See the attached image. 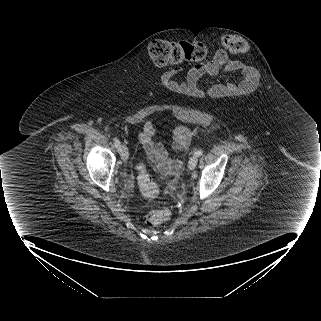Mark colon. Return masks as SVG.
<instances>
[{"label": "colon", "instance_id": "obj_1", "mask_svg": "<svg viewBox=\"0 0 321 321\" xmlns=\"http://www.w3.org/2000/svg\"><path fill=\"white\" fill-rule=\"evenodd\" d=\"M220 44L230 53L242 54L247 51V43L240 36L226 35L221 38ZM148 56L153 65L168 67L205 60L209 56V47L204 43L156 40L149 45ZM138 181L144 196L154 198L157 195L155 183L142 167L139 170ZM169 216L170 211L163 209L147 213L144 220L150 226H157Z\"/></svg>", "mask_w": 321, "mask_h": 321}]
</instances>
